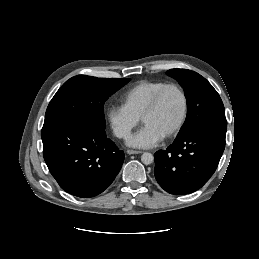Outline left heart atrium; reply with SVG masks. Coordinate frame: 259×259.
Returning <instances> with one entry per match:
<instances>
[{
    "mask_svg": "<svg viewBox=\"0 0 259 259\" xmlns=\"http://www.w3.org/2000/svg\"><path fill=\"white\" fill-rule=\"evenodd\" d=\"M163 136L150 126L144 125L130 139L128 144L137 148H150L158 144Z\"/></svg>",
    "mask_w": 259,
    "mask_h": 259,
    "instance_id": "left-heart-atrium-1",
    "label": "left heart atrium"
}]
</instances>
